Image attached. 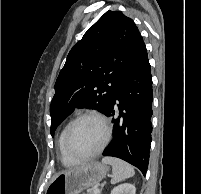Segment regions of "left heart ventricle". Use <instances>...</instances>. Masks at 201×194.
<instances>
[{
	"label": "left heart ventricle",
	"mask_w": 201,
	"mask_h": 194,
	"mask_svg": "<svg viewBox=\"0 0 201 194\" xmlns=\"http://www.w3.org/2000/svg\"><path fill=\"white\" fill-rule=\"evenodd\" d=\"M104 127L96 119L85 118L73 128L69 146L78 155H86L95 151L104 140Z\"/></svg>",
	"instance_id": "left-heart-ventricle-1"
}]
</instances>
